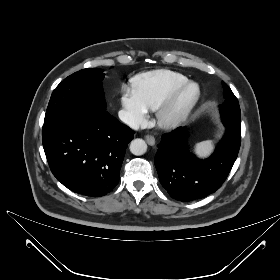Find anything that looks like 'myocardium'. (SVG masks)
Returning a JSON list of instances; mask_svg holds the SVG:
<instances>
[{"label": "myocardium", "instance_id": "1", "mask_svg": "<svg viewBox=\"0 0 280 280\" xmlns=\"http://www.w3.org/2000/svg\"><path fill=\"white\" fill-rule=\"evenodd\" d=\"M190 88L195 89L193 96L179 105L181 97ZM200 95V86L195 81H187L177 86L155 109L157 125L162 129H173L182 124L194 110Z\"/></svg>", "mask_w": 280, "mask_h": 280}]
</instances>
